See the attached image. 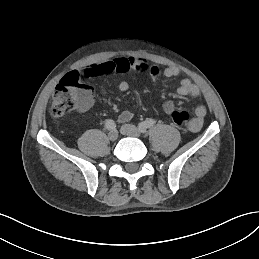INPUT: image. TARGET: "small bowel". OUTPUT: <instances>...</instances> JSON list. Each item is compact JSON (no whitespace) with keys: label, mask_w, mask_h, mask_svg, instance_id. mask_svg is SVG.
<instances>
[{"label":"small bowel","mask_w":259,"mask_h":259,"mask_svg":"<svg viewBox=\"0 0 259 259\" xmlns=\"http://www.w3.org/2000/svg\"><path fill=\"white\" fill-rule=\"evenodd\" d=\"M128 71L146 72L153 80H156L160 75V70L155 65H150L144 58L137 57H118L107 59L102 62L92 63L84 67L80 71H76L80 77L89 79L109 73H125ZM163 75L167 78L176 77L180 74L177 67H167L163 70ZM119 90L125 92L129 89V84L126 81L120 82ZM177 92L181 96H197L199 88L193 84L189 79H182L177 88ZM175 109L172 101H165L163 103V110L165 113L170 114ZM207 110L205 106L199 105L194 110V117L191 119L188 129L192 132H198L204 123ZM133 113L129 110L123 111L119 115L121 123L131 120Z\"/></svg>","instance_id":"c3829d8e"}]
</instances>
